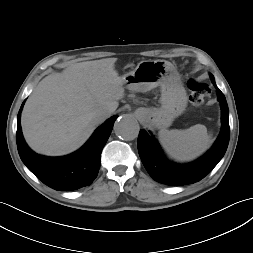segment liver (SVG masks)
Returning a JSON list of instances; mask_svg holds the SVG:
<instances>
[{"label": "liver", "mask_w": 253, "mask_h": 253, "mask_svg": "<svg viewBox=\"0 0 253 253\" xmlns=\"http://www.w3.org/2000/svg\"><path fill=\"white\" fill-rule=\"evenodd\" d=\"M117 58L72 64L42 79L21 117L28 145L37 153L60 156L81 147L100 124L94 114L114 112L124 97Z\"/></svg>", "instance_id": "obj_1"}]
</instances>
